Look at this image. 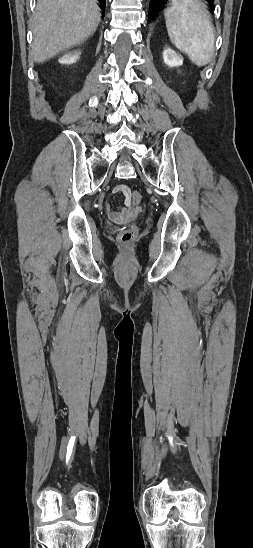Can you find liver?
I'll list each match as a JSON object with an SVG mask.
<instances>
[{
    "mask_svg": "<svg viewBox=\"0 0 253 548\" xmlns=\"http://www.w3.org/2000/svg\"><path fill=\"white\" fill-rule=\"evenodd\" d=\"M101 21L96 0H37L32 21V58L42 63L79 45Z\"/></svg>",
    "mask_w": 253,
    "mask_h": 548,
    "instance_id": "6515ba94",
    "label": "liver"
}]
</instances>
